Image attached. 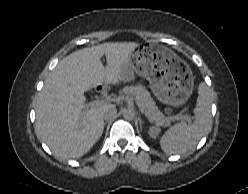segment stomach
Wrapping results in <instances>:
<instances>
[{"label":"stomach","instance_id":"1","mask_svg":"<svg viewBox=\"0 0 248 194\" xmlns=\"http://www.w3.org/2000/svg\"><path fill=\"white\" fill-rule=\"evenodd\" d=\"M134 73L147 79L154 95L174 107L183 105L194 87L192 71L185 61L166 47L139 45L124 68V80Z\"/></svg>","mask_w":248,"mask_h":194}]
</instances>
